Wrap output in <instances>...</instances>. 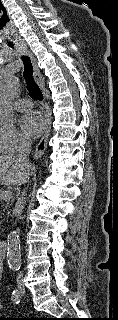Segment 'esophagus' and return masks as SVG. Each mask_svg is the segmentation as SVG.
Segmentation results:
<instances>
[{
  "label": "esophagus",
  "instance_id": "obj_1",
  "mask_svg": "<svg viewBox=\"0 0 118 320\" xmlns=\"http://www.w3.org/2000/svg\"><path fill=\"white\" fill-rule=\"evenodd\" d=\"M27 54L30 57L33 68H34V78L37 81V83L39 84V86L41 88H44L45 83H44V79L42 78L40 69L37 65V60H36L35 56L30 51H27ZM50 130H51V115L47 111L45 114V133L35 148L34 155H33V158L35 160H37L39 157H41L43 155L44 151L46 150Z\"/></svg>",
  "mask_w": 118,
  "mask_h": 320
}]
</instances>
